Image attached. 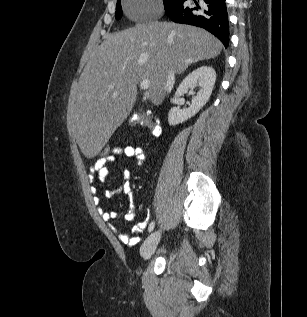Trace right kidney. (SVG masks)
<instances>
[{
  "label": "right kidney",
  "instance_id": "obj_1",
  "mask_svg": "<svg viewBox=\"0 0 307 317\" xmlns=\"http://www.w3.org/2000/svg\"><path fill=\"white\" fill-rule=\"evenodd\" d=\"M216 81V72L210 66H202L191 73L181 82L175 93V99L186 94L189 89L199 86V92L193 96L192 103L189 108L179 109L172 107L168 113L169 125H177L190 119L198 113L202 107L208 102Z\"/></svg>",
  "mask_w": 307,
  "mask_h": 317
}]
</instances>
